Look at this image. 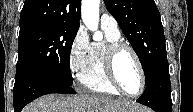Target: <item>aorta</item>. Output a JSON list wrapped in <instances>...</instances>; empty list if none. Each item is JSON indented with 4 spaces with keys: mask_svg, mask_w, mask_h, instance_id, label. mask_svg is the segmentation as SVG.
<instances>
[{
    "mask_svg": "<svg viewBox=\"0 0 193 112\" xmlns=\"http://www.w3.org/2000/svg\"><path fill=\"white\" fill-rule=\"evenodd\" d=\"M100 0H83L81 5V17L86 27L94 32L93 39L101 41L103 35L98 31Z\"/></svg>",
    "mask_w": 193,
    "mask_h": 112,
    "instance_id": "aorta-1",
    "label": "aorta"
}]
</instances>
